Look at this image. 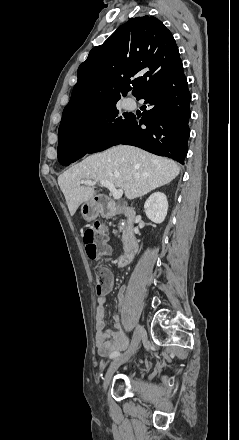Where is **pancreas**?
<instances>
[{
    "label": "pancreas",
    "mask_w": 239,
    "mask_h": 440,
    "mask_svg": "<svg viewBox=\"0 0 239 440\" xmlns=\"http://www.w3.org/2000/svg\"><path fill=\"white\" fill-rule=\"evenodd\" d=\"M113 234H117V230H113Z\"/></svg>",
    "instance_id": "pancreas-1"
}]
</instances>
